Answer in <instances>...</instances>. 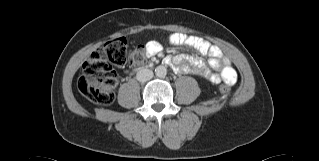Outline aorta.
<instances>
[{"label":"aorta","mask_w":319,"mask_h":161,"mask_svg":"<svg viewBox=\"0 0 319 161\" xmlns=\"http://www.w3.org/2000/svg\"><path fill=\"white\" fill-rule=\"evenodd\" d=\"M155 74H156V76H158V77H165L166 74H167V69H166V67L163 66V65L157 66L156 69H155Z\"/></svg>","instance_id":"762f6f07"}]
</instances>
